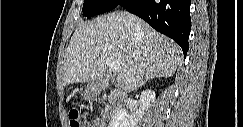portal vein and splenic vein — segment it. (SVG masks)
<instances>
[{
	"instance_id": "1",
	"label": "portal vein and splenic vein",
	"mask_w": 243,
	"mask_h": 127,
	"mask_svg": "<svg viewBox=\"0 0 243 127\" xmlns=\"http://www.w3.org/2000/svg\"><path fill=\"white\" fill-rule=\"evenodd\" d=\"M107 66L109 67L110 71L114 72V73H118L121 70V65L120 63H118L117 61L111 59V58H107L105 60Z\"/></svg>"
}]
</instances>
